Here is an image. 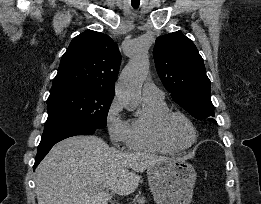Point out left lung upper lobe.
<instances>
[{
	"instance_id": "1",
	"label": "left lung upper lobe",
	"mask_w": 261,
	"mask_h": 204,
	"mask_svg": "<svg viewBox=\"0 0 261 204\" xmlns=\"http://www.w3.org/2000/svg\"><path fill=\"white\" fill-rule=\"evenodd\" d=\"M158 75L173 100L196 119L214 123L210 80L194 43L179 32L159 36L153 49Z\"/></svg>"
}]
</instances>
